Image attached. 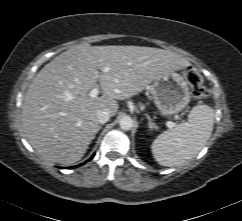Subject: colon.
<instances>
[{
    "mask_svg": "<svg viewBox=\"0 0 242 221\" xmlns=\"http://www.w3.org/2000/svg\"><path fill=\"white\" fill-rule=\"evenodd\" d=\"M186 76L192 89V95L196 99H203L208 96V90L203 85L202 77L197 70L189 67L186 70Z\"/></svg>",
    "mask_w": 242,
    "mask_h": 221,
    "instance_id": "1",
    "label": "colon"
}]
</instances>
